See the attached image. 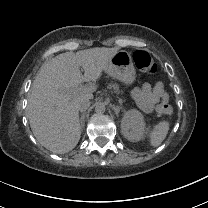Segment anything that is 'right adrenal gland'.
Masks as SVG:
<instances>
[{"instance_id": "right-adrenal-gland-1", "label": "right adrenal gland", "mask_w": 208, "mask_h": 208, "mask_svg": "<svg viewBox=\"0 0 208 208\" xmlns=\"http://www.w3.org/2000/svg\"><path fill=\"white\" fill-rule=\"evenodd\" d=\"M84 116V113H82V116L80 117V123L82 127L84 126Z\"/></svg>"}]
</instances>
